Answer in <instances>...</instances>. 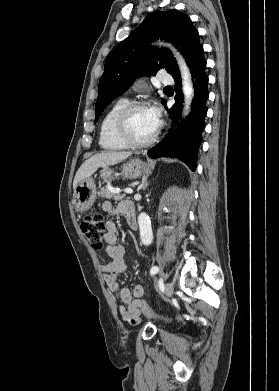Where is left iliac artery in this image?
<instances>
[{
    "instance_id": "44dca946",
    "label": "left iliac artery",
    "mask_w": 279,
    "mask_h": 391,
    "mask_svg": "<svg viewBox=\"0 0 279 391\" xmlns=\"http://www.w3.org/2000/svg\"><path fill=\"white\" fill-rule=\"evenodd\" d=\"M159 272V268L157 266H153L150 270L151 275H155Z\"/></svg>"
}]
</instances>
